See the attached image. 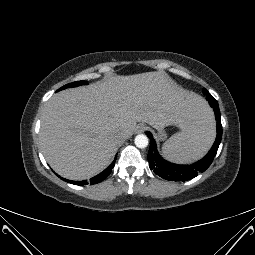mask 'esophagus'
Wrapping results in <instances>:
<instances>
[{
  "label": "esophagus",
  "mask_w": 255,
  "mask_h": 255,
  "mask_svg": "<svg viewBox=\"0 0 255 255\" xmlns=\"http://www.w3.org/2000/svg\"><path fill=\"white\" fill-rule=\"evenodd\" d=\"M144 130H145L144 125H138L137 128H136L137 133H142Z\"/></svg>",
  "instance_id": "esophagus-1"
}]
</instances>
